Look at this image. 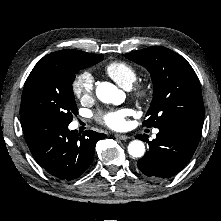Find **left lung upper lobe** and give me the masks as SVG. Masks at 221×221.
<instances>
[{"mask_svg": "<svg viewBox=\"0 0 221 221\" xmlns=\"http://www.w3.org/2000/svg\"><path fill=\"white\" fill-rule=\"evenodd\" d=\"M144 66L154 84L144 126L159 128L183 118L204 119L201 86L191 65L165 47H149L124 55Z\"/></svg>", "mask_w": 221, "mask_h": 221, "instance_id": "obj_1", "label": "left lung upper lobe"}]
</instances>
